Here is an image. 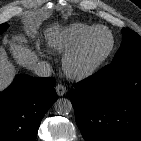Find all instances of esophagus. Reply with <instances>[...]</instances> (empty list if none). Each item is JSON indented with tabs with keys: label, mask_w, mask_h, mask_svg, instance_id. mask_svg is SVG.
Returning a JSON list of instances; mask_svg holds the SVG:
<instances>
[{
	"label": "esophagus",
	"mask_w": 141,
	"mask_h": 141,
	"mask_svg": "<svg viewBox=\"0 0 141 141\" xmlns=\"http://www.w3.org/2000/svg\"><path fill=\"white\" fill-rule=\"evenodd\" d=\"M56 92H57L58 96H63V95L66 94L67 89H66V87L64 85L58 84L56 86Z\"/></svg>",
	"instance_id": "1"
}]
</instances>
